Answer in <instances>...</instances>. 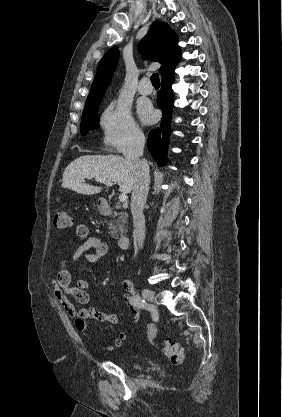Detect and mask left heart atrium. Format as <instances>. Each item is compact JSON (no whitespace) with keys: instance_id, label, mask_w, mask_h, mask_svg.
Returning <instances> with one entry per match:
<instances>
[{"instance_id":"1","label":"left heart atrium","mask_w":282,"mask_h":417,"mask_svg":"<svg viewBox=\"0 0 282 417\" xmlns=\"http://www.w3.org/2000/svg\"><path fill=\"white\" fill-rule=\"evenodd\" d=\"M139 114L144 121H151L153 119V111L146 107H141Z\"/></svg>"}]
</instances>
